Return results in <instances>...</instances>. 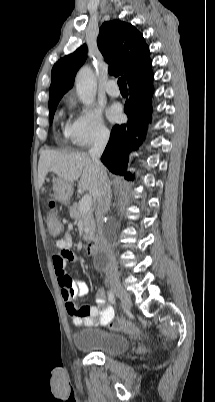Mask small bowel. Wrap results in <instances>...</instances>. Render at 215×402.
I'll return each instance as SVG.
<instances>
[{
	"instance_id": "1",
	"label": "small bowel",
	"mask_w": 215,
	"mask_h": 402,
	"mask_svg": "<svg viewBox=\"0 0 215 402\" xmlns=\"http://www.w3.org/2000/svg\"><path fill=\"white\" fill-rule=\"evenodd\" d=\"M72 239L68 234L55 241L52 255L53 267L65 302L66 311L75 326H107L114 318V310L106 301L105 290L97 291V306L81 305L80 300L88 294V286L81 279H73L67 272V263L79 261L72 251Z\"/></svg>"
}]
</instances>
